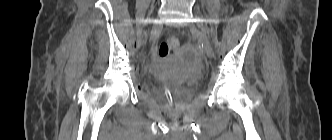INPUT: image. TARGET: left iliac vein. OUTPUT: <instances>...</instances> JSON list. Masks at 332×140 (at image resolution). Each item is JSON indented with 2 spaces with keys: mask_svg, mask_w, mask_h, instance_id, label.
Segmentation results:
<instances>
[{
  "mask_svg": "<svg viewBox=\"0 0 332 140\" xmlns=\"http://www.w3.org/2000/svg\"><path fill=\"white\" fill-rule=\"evenodd\" d=\"M192 33L198 38V41L209 58L214 57L213 49L208 41L206 34L194 25L190 26Z\"/></svg>",
  "mask_w": 332,
  "mask_h": 140,
  "instance_id": "obj_1",
  "label": "left iliac vein"
}]
</instances>
